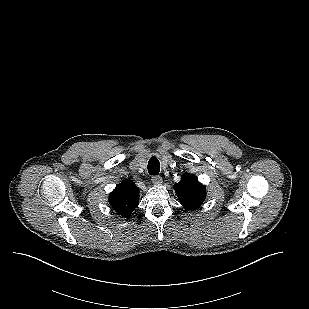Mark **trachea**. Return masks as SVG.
I'll return each mask as SVG.
<instances>
[{"mask_svg": "<svg viewBox=\"0 0 309 309\" xmlns=\"http://www.w3.org/2000/svg\"><path fill=\"white\" fill-rule=\"evenodd\" d=\"M148 172L151 175H158L160 172V162L156 157H152L148 161Z\"/></svg>", "mask_w": 309, "mask_h": 309, "instance_id": "3493384b", "label": "trachea"}]
</instances>
